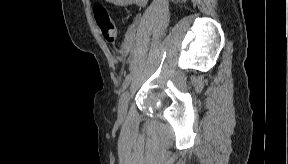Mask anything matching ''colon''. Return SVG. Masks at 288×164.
Wrapping results in <instances>:
<instances>
[{
  "label": "colon",
  "instance_id": "5ec220e1",
  "mask_svg": "<svg viewBox=\"0 0 288 164\" xmlns=\"http://www.w3.org/2000/svg\"><path fill=\"white\" fill-rule=\"evenodd\" d=\"M95 21L100 28L103 36L114 42L118 38V29L115 23L110 19L108 11L103 7H97L94 12Z\"/></svg>",
  "mask_w": 288,
  "mask_h": 164
}]
</instances>
